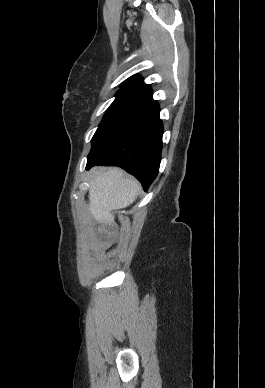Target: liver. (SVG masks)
Returning a JSON list of instances; mask_svg holds the SVG:
<instances>
[{
	"mask_svg": "<svg viewBox=\"0 0 265 388\" xmlns=\"http://www.w3.org/2000/svg\"><path fill=\"white\" fill-rule=\"evenodd\" d=\"M90 174L88 210L100 224L111 226L112 210H122L133 204L141 186L120 168H93Z\"/></svg>",
	"mask_w": 265,
	"mask_h": 388,
	"instance_id": "1",
	"label": "liver"
}]
</instances>
